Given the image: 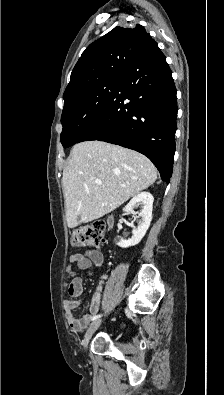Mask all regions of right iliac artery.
<instances>
[{
  "label": "right iliac artery",
  "mask_w": 224,
  "mask_h": 395,
  "mask_svg": "<svg viewBox=\"0 0 224 395\" xmlns=\"http://www.w3.org/2000/svg\"><path fill=\"white\" fill-rule=\"evenodd\" d=\"M102 315H95L91 318L92 321L97 320L98 318H100Z\"/></svg>",
  "instance_id": "obj_1"
}]
</instances>
